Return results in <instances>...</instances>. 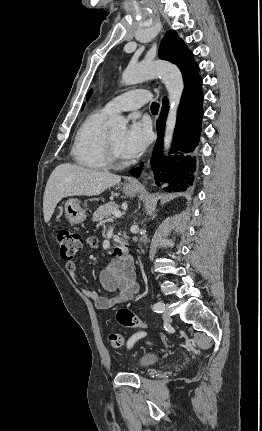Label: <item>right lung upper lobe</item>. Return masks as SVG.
I'll return each mask as SVG.
<instances>
[{"mask_svg": "<svg viewBox=\"0 0 262 431\" xmlns=\"http://www.w3.org/2000/svg\"><path fill=\"white\" fill-rule=\"evenodd\" d=\"M92 91H89L88 95H87V99H89L90 95H91Z\"/></svg>", "mask_w": 262, "mask_h": 431, "instance_id": "1", "label": "right lung upper lobe"}]
</instances>
